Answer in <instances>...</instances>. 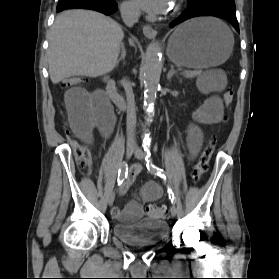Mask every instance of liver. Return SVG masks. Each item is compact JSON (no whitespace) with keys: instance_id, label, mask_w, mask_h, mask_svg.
Here are the masks:
<instances>
[{"instance_id":"obj_1","label":"liver","mask_w":279,"mask_h":279,"mask_svg":"<svg viewBox=\"0 0 279 279\" xmlns=\"http://www.w3.org/2000/svg\"><path fill=\"white\" fill-rule=\"evenodd\" d=\"M123 37L120 25L101 13L63 12L56 18L49 37L48 64L52 83L74 76L94 78L111 72Z\"/></svg>"}]
</instances>
